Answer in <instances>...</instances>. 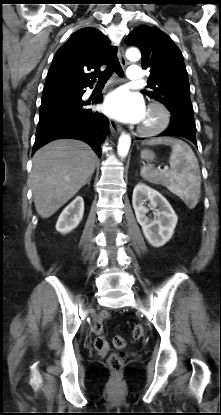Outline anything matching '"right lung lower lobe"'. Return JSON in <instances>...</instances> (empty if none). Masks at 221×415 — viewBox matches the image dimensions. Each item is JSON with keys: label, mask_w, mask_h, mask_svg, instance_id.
I'll return each instance as SVG.
<instances>
[{"label": "right lung lower lobe", "mask_w": 221, "mask_h": 415, "mask_svg": "<svg viewBox=\"0 0 221 415\" xmlns=\"http://www.w3.org/2000/svg\"><path fill=\"white\" fill-rule=\"evenodd\" d=\"M91 86L43 92L32 154L52 140L74 138L85 141L101 155L109 122L101 113L86 108L90 103L82 100L83 89ZM102 99L100 94L92 103H100Z\"/></svg>", "instance_id": "1"}]
</instances>
